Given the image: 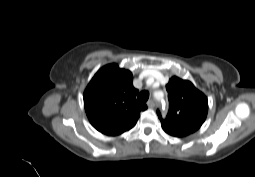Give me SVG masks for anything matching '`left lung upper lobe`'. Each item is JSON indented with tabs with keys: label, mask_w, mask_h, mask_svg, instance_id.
Segmentation results:
<instances>
[{
	"label": "left lung upper lobe",
	"mask_w": 255,
	"mask_h": 177,
	"mask_svg": "<svg viewBox=\"0 0 255 177\" xmlns=\"http://www.w3.org/2000/svg\"><path fill=\"white\" fill-rule=\"evenodd\" d=\"M166 89L168 115L163 119L159 110L157 111L163 130L175 137H184L197 131L207 116V97L190 81L176 76L169 80Z\"/></svg>",
	"instance_id": "obj_1"
}]
</instances>
